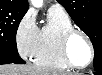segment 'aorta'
I'll return each mask as SVG.
<instances>
[{"mask_svg":"<svg viewBox=\"0 0 102 75\" xmlns=\"http://www.w3.org/2000/svg\"><path fill=\"white\" fill-rule=\"evenodd\" d=\"M31 4L34 7L40 8L43 4V0H31Z\"/></svg>","mask_w":102,"mask_h":75,"instance_id":"obj_1","label":"aorta"}]
</instances>
